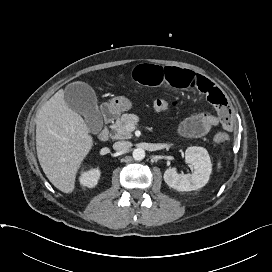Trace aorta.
I'll return each mask as SVG.
<instances>
[{"instance_id": "aorta-1", "label": "aorta", "mask_w": 272, "mask_h": 272, "mask_svg": "<svg viewBox=\"0 0 272 272\" xmlns=\"http://www.w3.org/2000/svg\"><path fill=\"white\" fill-rule=\"evenodd\" d=\"M133 158L137 161H141L145 158V151L142 148H136L133 150Z\"/></svg>"}]
</instances>
